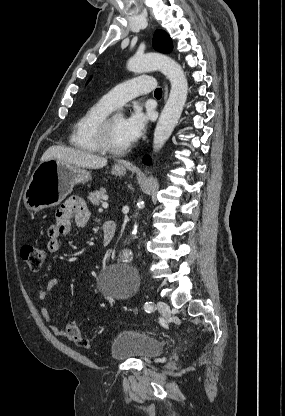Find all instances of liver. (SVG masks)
Instances as JSON below:
<instances>
[{
  "label": "liver",
  "instance_id": "6515ba94",
  "mask_svg": "<svg viewBox=\"0 0 285 416\" xmlns=\"http://www.w3.org/2000/svg\"><path fill=\"white\" fill-rule=\"evenodd\" d=\"M48 160H60L71 166L78 168H89V170H100L107 166V158L94 156L91 152L85 150H75V148H64V146H51L44 152L40 164L48 162Z\"/></svg>",
  "mask_w": 285,
  "mask_h": 416
}]
</instances>
